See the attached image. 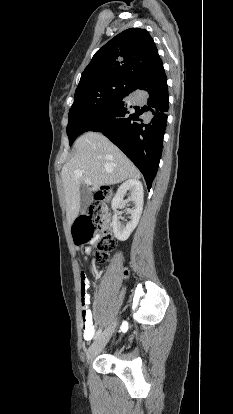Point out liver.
Here are the masks:
<instances>
[{
    "mask_svg": "<svg viewBox=\"0 0 233 414\" xmlns=\"http://www.w3.org/2000/svg\"><path fill=\"white\" fill-rule=\"evenodd\" d=\"M75 155L61 171L66 201V216L72 224L80 212V187L114 185L127 179H139L140 172L107 137L88 132L74 143Z\"/></svg>",
    "mask_w": 233,
    "mask_h": 414,
    "instance_id": "liver-1",
    "label": "liver"
}]
</instances>
